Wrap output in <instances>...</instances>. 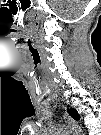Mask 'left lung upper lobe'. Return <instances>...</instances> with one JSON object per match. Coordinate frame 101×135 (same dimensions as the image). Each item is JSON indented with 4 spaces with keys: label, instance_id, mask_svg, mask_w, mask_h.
I'll return each mask as SVG.
<instances>
[{
    "label": "left lung upper lobe",
    "instance_id": "left-lung-upper-lobe-1",
    "mask_svg": "<svg viewBox=\"0 0 101 135\" xmlns=\"http://www.w3.org/2000/svg\"><path fill=\"white\" fill-rule=\"evenodd\" d=\"M70 114H71L72 117L75 118V119H78V118H79V116H78V114H77V112H76L75 110H70Z\"/></svg>",
    "mask_w": 101,
    "mask_h": 135
}]
</instances>
